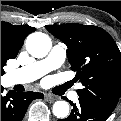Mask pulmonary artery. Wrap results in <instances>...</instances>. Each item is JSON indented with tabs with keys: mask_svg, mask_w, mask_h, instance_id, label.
Wrapping results in <instances>:
<instances>
[{
	"mask_svg": "<svg viewBox=\"0 0 121 121\" xmlns=\"http://www.w3.org/2000/svg\"><path fill=\"white\" fill-rule=\"evenodd\" d=\"M66 59V51L63 45H55L51 52L45 58L32 62L20 69L10 71L7 74L9 85L30 83L47 73L56 70L62 66ZM82 84H78L77 88H81ZM71 98L75 100L77 94L73 92Z\"/></svg>",
	"mask_w": 121,
	"mask_h": 121,
	"instance_id": "obj_1",
	"label": "pulmonary artery"
}]
</instances>
